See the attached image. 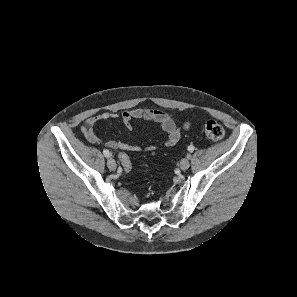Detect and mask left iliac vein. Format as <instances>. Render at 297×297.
Here are the masks:
<instances>
[{
    "mask_svg": "<svg viewBox=\"0 0 297 297\" xmlns=\"http://www.w3.org/2000/svg\"><path fill=\"white\" fill-rule=\"evenodd\" d=\"M190 166V162H189V159L188 158H183L181 161H180V168L181 170H187Z\"/></svg>",
    "mask_w": 297,
    "mask_h": 297,
    "instance_id": "4c4485c4",
    "label": "left iliac vein"
}]
</instances>
